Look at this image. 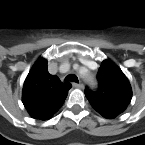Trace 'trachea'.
<instances>
[{
	"label": "trachea",
	"mask_w": 145,
	"mask_h": 145,
	"mask_svg": "<svg viewBox=\"0 0 145 145\" xmlns=\"http://www.w3.org/2000/svg\"><path fill=\"white\" fill-rule=\"evenodd\" d=\"M65 81H73V82H76V83L79 82L77 76L74 75V74H69V75H67V76L65 77Z\"/></svg>",
	"instance_id": "1"
}]
</instances>
